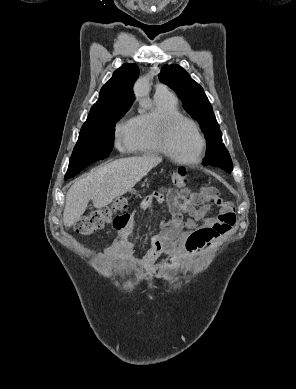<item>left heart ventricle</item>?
Segmentation results:
<instances>
[{
	"instance_id": "left-heart-ventricle-1",
	"label": "left heart ventricle",
	"mask_w": 296,
	"mask_h": 389,
	"mask_svg": "<svg viewBox=\"0 0 296 389\" xmlns=\"http://www.w3.org/2000/svg\"><path fill=\"white\" fill-rule=\"evenodd\" d=\"M170 145L173 153L182 159H194L199 151V138L195 129L187 122H179L172 130Z\"/></svg>"
}]
</instances>
